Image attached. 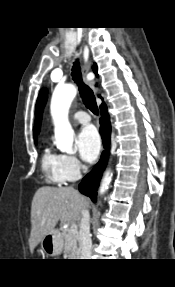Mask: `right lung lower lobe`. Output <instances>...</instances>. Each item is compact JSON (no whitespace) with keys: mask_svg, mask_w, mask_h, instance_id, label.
Segmentation results:
<instances>
[{"mask_svg":"<svg viewBox=\"0 0 175 287\" xmlns=\"http://www.w3.org/2000/svg\"><path fill=\"white\" fill-rule=\"evenodd\" d=\"M100 109H101L100 134L102 136L103 144L106 150L103 152L99 163L92 169L90 173H88L83 178L82 182L79 184V191L82 194L89 196L93 202L96 201L97 188L99 186L102 173L108 158V148L111 134L110 120L105 103L101 104Z\"/></svg>","mask_w":175,"mask_h":287,"instance_id":"right-lung-lower-lobe-1","label":"right lung lower lobe"}]
</instances>
